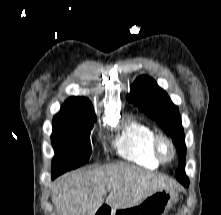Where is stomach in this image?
I'll list each match as a JSON object with an SVG mask.
<instances>
[{"instance_id":"stomach-1","label":"stomach","mask_w":221,"mask_h":215,"mask_svg":"<svg viewBox=\"0 0 221 215\" xmlns=\"http://www.w3.org/2000/svg\"><path fill=\"white\" fill-rule=\"evenodd\" d=\"M177 201L174 189L158 190L135 206L113 210L112 215H166Z\"/></svg>"}]
</instances>
